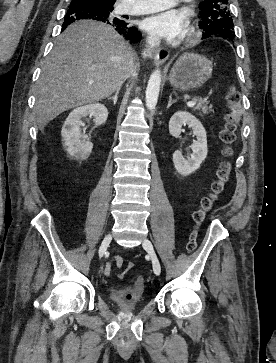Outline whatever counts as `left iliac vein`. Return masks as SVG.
<instances>
[{
    "instance_id": "1",
    "label": "left iliac vein",
    "mask_w": 276,
    "mask_h": 363,
    "mask_svg": "<svg viewBox=\"0 0 276 363\" xmlns=\"http://www.w3.org/2000/svg\"><path fill=\"white\" fill-rule=\"evenodd\" d=\"M143 248L147 251V253L151 257L152 264H153V270H154L155 274L159 275L161 272V266H160V262L155 253V250L153 248L151 241H149L148 239H145L143 242Z\"/></svg>"
}]
</instances>
